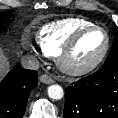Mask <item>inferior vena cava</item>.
<instances>
[{
  "label": "inferior vena cava",
  "mask_w": 118,
  "mask_h": 118,
  "mask_svg": "<svg viewBox=\"0 0 118 118\" xmlns=\"http://www.w3.org/2000/svg\"><path fill=\"white\" fill-rule=\"evenodd\" d=\"M21 65L26 69L37 70L39 68V61L34 55H25L21 58Z\"/></svg>",
  "instance_id": "602c4592"
}]
</instances>
